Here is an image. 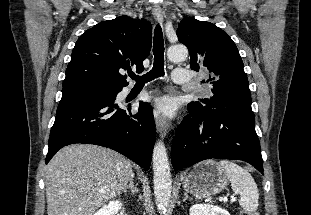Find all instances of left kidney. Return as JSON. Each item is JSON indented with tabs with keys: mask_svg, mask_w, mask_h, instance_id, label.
<instances>
[{
	"mask_svg": "<svg viewBox=\"0 0 311 215\" xmlns=\"http://www.w3.org/2000/svg\"><path fill=\"white\" fill-rule=\"evenodd\" d=\"M189 215H230L223 208L209 204H195L190 208Z\"/></svg>",
	"mask_w": 311,
	"mask_h": 215,
	"instance_id": "left-kidney-1",
	"label": "left kidney"
}]
</instances>
